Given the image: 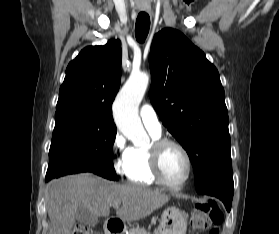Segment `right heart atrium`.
Returning <instances> with one entry per match:
<instances>
[{
  "instance_id": "1",
  "label": "right heart atrium",
  "mask_w": 279,
  "mask_h": 234,
  "mask_svg": "<svg viewBox=\"0 0 279 234\" xmlns=\"http://www.w3.org/2000/svg\"><path fill=\"white\" fill-rule=\"evenodd\" d=\"M112 151L115 156L114 168L117 173H123V164L128 155L129 147L124 136L117 131L112 139Z\"/></svg>"
}]
</instances>
